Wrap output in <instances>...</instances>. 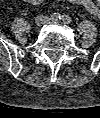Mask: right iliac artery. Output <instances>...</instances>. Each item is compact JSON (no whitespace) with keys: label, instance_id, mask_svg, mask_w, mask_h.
<instances>
[{"label":"right iliac artery","instance_id":"1","mask_svg":"<svg viewBox=\"0 0 100 118\" xmlns=\"http://www.w3.org/2000/svg\"><path fill=\"white\" fill-rule=\"evenodd\" d=\"M61 15H60V13H53L52 15H51V19H53V20H55V21H59V20H61Z\"/></svg>","mask_w":100,"mask_h":118}]
</instances>
